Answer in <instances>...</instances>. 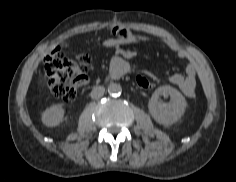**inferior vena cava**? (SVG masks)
Returning <instances> with one entry per match:
<instances>
[{"label":"inferior vena cava","instance_id":"inferior-vena-cava-1","mask_svg":"<svg viewBox=\"0 0 236 182\" xmlns=\"http://www.w3.org/2000/svg\"><path fill=\"white\" fill-rule=\"evenodd\" d=\"M104 93H105V88L103 86H97L93 88L90 95L92 99H99L104 95Z\"/></svg>","mask_w":236,"mask_h":182}]
</instances>
